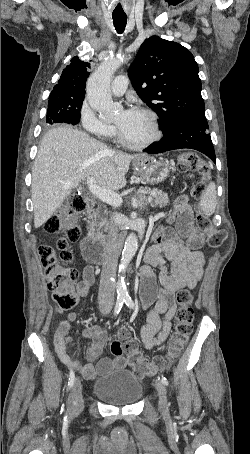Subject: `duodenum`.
<instances>
[{
	"label": "duodenum",
	"instance_id": "410a0bca",
	"mask_svg": "<svg viewBox=\"0 0 250 454\" xmlns=\"http://www.w3.org/2000/svg\"><path fill=\"white\" fill-rule=\"evenodd\" d=\"M85 205L88 209L87 213L92 216L95 212L94 203L91 199L85 200ZM126 240V234L121 233L117 238L115 246H121ZM83 258L91 264L101 265L104 262L105 256L109 248L104 246L100 239L95 237L91 232L87 233L81 244Z\"/></svg>",
	"mask_w": 250,
	"mask_h": 454
}]
</instances>
